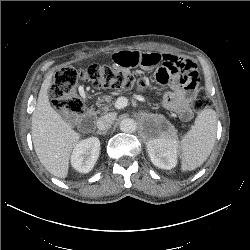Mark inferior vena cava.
I'll use <instances>...</instances> for the list:
<instances>
[{"instance_id":"inferior-vena-cava-1","label":"inferior vena cava","mask_w":250,"mask_h":250,"mask_svg":"<svg viewBox=\"0 0 250 250\" xmlns=\"http://www.w3.org/2000/svg\"><path fill=\"white\" fill-rule=\"evenodd\" d=\"M115 120V115L112 113L101 116L97 121V128L99 130H108Z\"/></svg>"}]
</instances>
